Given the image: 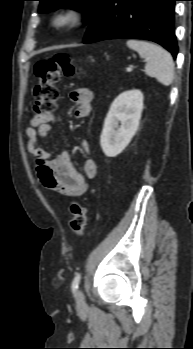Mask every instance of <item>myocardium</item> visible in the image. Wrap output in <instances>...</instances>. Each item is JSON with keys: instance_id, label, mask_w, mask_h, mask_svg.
<instances>
[{"instance_id": "1", "label": "myocardium", "mask_w": 193, "mask_h": 349, "mask_svg": "<svg viewBox=\"0 0 193 349\" xmlns=\"http://www.w3.org/2000/svg\"><path fill=\"white\" fill-rule=\"evenodd\" d=\"M84 16L80 6L69 4L53 11L49 18V26L56 32H65L81 23Z\"/></svg>"}]
</instances>
